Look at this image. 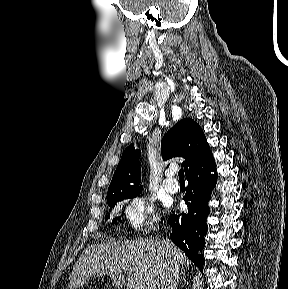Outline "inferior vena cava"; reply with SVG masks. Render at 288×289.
Segmentation results:
<instances>
[{"label":"inferior vena cava","mask_w":288,"mask_h":289,"mask_svg":"<svg viewBox=\"0 0 288 289\" xmlns=\"http://www.w3.org/2000/svg\"><path fill=\"white\" fill-rule=\"evenodd\" d=\"M161 245L163 254L165 255V261L159 289H177L180 266L174 257L169 241L162 240Z\"/></svg>","instance_id":"1"}]
</instances>
